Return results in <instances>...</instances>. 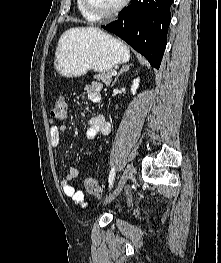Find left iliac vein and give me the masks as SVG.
<instances>
[{
    "label": "left iliac vein",
    "mask_w": 221,
    "mask_h": 263,
    "mask_svg": "<svg viewBox=\"0 0 221 263\" xmlns=\"http://www.w3.org/2000/svg\"><path fill=\"white\" fill-rule=\"evenodd\" d=\"M134 167L133 164H129L127 168L125 169L117 187L115 190L111 193V195L104 201V205L110 203L112 200L115 199V197L120 193V191L123 189L125 184L127 183L128 179L132 176Z\"/></svg>",
    "instance_id": "left-iliac-vein-1"
}]
</instances>
